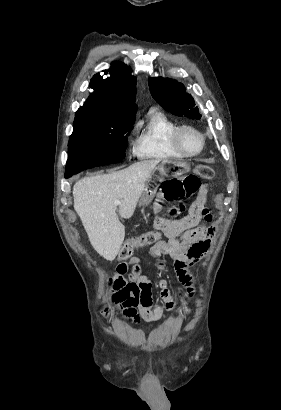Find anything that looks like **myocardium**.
I'll return each mask as SVG.
<instances>
[{"mask_svg":"<svg viewBox=\"0 0 281 410\" xmlns=\"http://www.w3.org/2000/svg\"><path fill=\"white\" fill-rule=\"evenodd\" d=\"M187 131L195 132L200 137L201 145L198 150L189 151L185 148L182 138H183V134ZM172 142H173L174 147L185 157H194V156L201 154L203 150L205 149L206 137L201 130H199L197 127L193 125H181V126H178L177 129L174 131L173 136H172Z\"/></svg>","mask_w":281,"mask_h":410,"instance_id":"1","label":"myocardium"}]
</instances>
